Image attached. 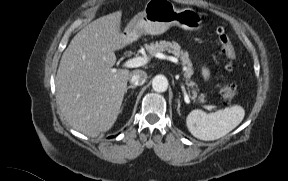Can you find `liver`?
<instances>
[{"label": "liver", "mask_w": 288, "mask_h": 181, "mask_svg": "<svg viewBox=\"0 0 288 181\" xmlns=\"http://www.w3.org/2000/svg\"><path fill=\"white\" fill-rule=\"evenodd\" d=\"M121 11L100 17L80 30L63 52L56 75V97L67 122L96 137L117 120L130 74L113 69L115 51L136 36L121 33Z\"/></svg>", "instance_id": "liver-1"}]
</instances>
